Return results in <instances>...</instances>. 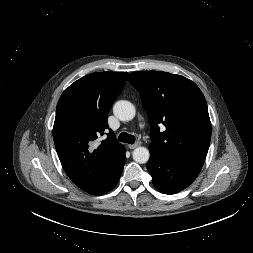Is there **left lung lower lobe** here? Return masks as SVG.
<instances>
[{"mask_svg":"<svg viewBox=\"0 0 253 253\" xmlns=\"http://www.w3.org/2000/svg\"><path fill=\"white\" fill-rule=\"evenodd\" d=\"M149 150L150 159L146 168L159 192L178 193L188 187L198 176V171L173 163L151 148Z\"/></svg>","mask_w":253,"mask_h":253,"instance_id":"obj_1","label":"left lung lower lobe"}]
</instances>
